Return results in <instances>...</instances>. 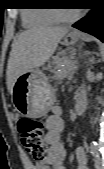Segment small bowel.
Segmentation results:
<instances>
[{"mask_svg": "<svg viewBox=\"0 0 104 169\" xmlns=\"http://www.w3.org/2000/svg\"><path fill=\"white\" fill-rule=\"evenodd\" d=\"M45 142L49 145L47 156L37 163V169H65L64 160L67 152L63 143L64 120L62 109L55 106L52 114L46 119ZM77 169H89L87 154L84 147L76 149Z\"/></svg>", "mask_w": 104, "mask_h": 169, "instance_id": "obj_1", "label": "small bowel"}]
</instances>
